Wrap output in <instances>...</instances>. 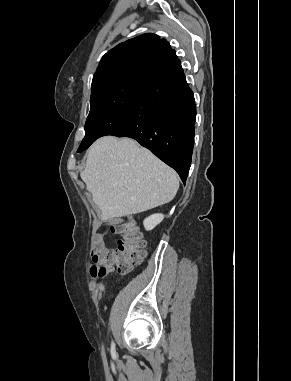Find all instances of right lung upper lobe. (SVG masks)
Listing matches in <instances>:
<instances>
[{"instance_id": "right-lung-upper-lobe-1", "label": "right lung upper lobe", "mask_w": 291, "mask_h": 381, "mask_svg": "<svg viewBox=\"0 0 291 381\" xmlns=\"http://www.w3.org/2000/svg\"><path fill=\"white\" fill-rule=\"evenodd\" d=\"M177 60L165 39L146 33L120 43L101 59L92 81V93L131 78H145Z\"/></svg>"}]
</instances>
